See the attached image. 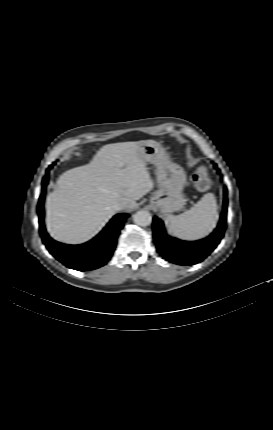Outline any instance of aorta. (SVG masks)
Returning <instances> with one entry per match:
<instances>
[{
	"instance_id": "1",
	"label": "aorta",
	"mask_w": 273,
	"mask_h": 430,
	"mask_svg": "<svg viewBox=\"0 0 273 430\" xmlns=\"http://www.w3.org/2000/svg\"><path fill=\"white\" fill-rule=\"evenodd\" d=\"M133 221L138 226H148L152 222V216L148 211L140 210L133 215Z\"/></svg>"
}]
</instances>
